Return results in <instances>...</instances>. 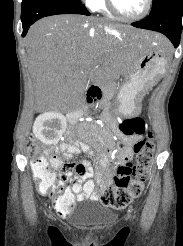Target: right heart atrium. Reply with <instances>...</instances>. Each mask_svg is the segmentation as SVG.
Listing matches in <instances>:
<instances>
[{
    "label": "right heart atrium",
    "instance_id": "d8ad5b80",
    "mask_svg": "<svg viewBox=\"0 0 183 246\" xmlns=\"http://www.w3.org/2000/svg\"><path fill=\"white\" fill-rule=\"evenodd\" d=\"M83 1L90 9H93V7L95 6L98 0H83Z\"/></svg>",
    "mask_w": 183,
    "mask_h": 246
}]
</instances>
